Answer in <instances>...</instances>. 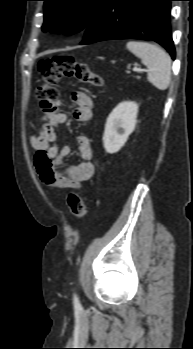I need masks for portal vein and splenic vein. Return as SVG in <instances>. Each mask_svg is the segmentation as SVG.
Masks as SVG:
<instances>
[{"label": "portal vein and splenic vein", "mask_w": 193, "mask_h": 349, "mask_svg": "<svg viewBox=\"0 0 193 349\" xmlns=\"http://www.w3.org/2000/svg\"><path fill=\"white\" fill-rule=\"evenodd\" d=\"M134 72H139V71H146L144 69L138 68V67H133Z\"/></svg>", "instance_id": "18ae733b"}]
</instances>
